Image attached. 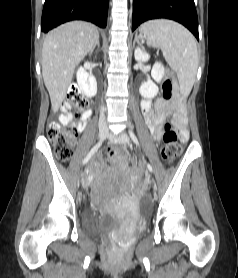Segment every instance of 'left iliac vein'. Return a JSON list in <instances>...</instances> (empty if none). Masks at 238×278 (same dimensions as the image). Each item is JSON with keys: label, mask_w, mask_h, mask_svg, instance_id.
I'll use <instances>...</instances> for the list:
<instances>
[{"label": "left iliac vein", "mask_w": 238, "mask_h": 278, "mask_svg": "<svg viewBox=\"0 0 238 278\" xmlns=\"http://www.w3.org/2000/svg\"><path fill=\"white\" fill-rule=\"evenodd\" d=\"M108 137L110 140L119 142L121 144H129L130 143V138L125 132H121L118 135L109 133ZM153 185H154L153 190L157 191V182H153Z\"/></svg>", "instance_id": "left-iliac-vein-1"}]
</instances>
